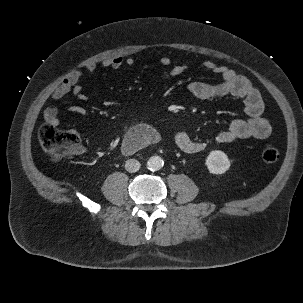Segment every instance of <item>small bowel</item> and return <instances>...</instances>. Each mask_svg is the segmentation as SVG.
Segmentation results:
<instances>
[{
    "instance_id": "1",
    "label": "small bowel",
    "mask_w": 303,
    "mask_h": 303,
    "mask_svg": "<svg viewBox=\"0 0 303 303\" xmlns=\"http://www.w3.org/2000/svg\"><path fill=\"white\" fill-rule=\"evenodd\" d=\"M160 64L167 70L157 79L159 83L172 78L181 76L189 69V64L180 62L173 64L168 56H162ZM135 63L131 57L116 56L103 60L102 66L111 69H120L122 67H131ZM205 70L217 73L221 76L218 83H207L194 81L188 84V92L199 100H215L224 97L241 98L244 103L246 119H234L227 129L219 132L215 140L217 143H231L238 140L256 138L265 139L271 133V124L263 116L264 104L259 91L252 82L245 76L237 74L227 66L219 65L214 61H205L202 64ZM96 70V64H88L84 70H75L70 72L60 84L52 91L51 98L60 100L68 93L72 92L74 96L85 101L87 94L83 91L80 80L86 73H93ZM68 111L80 116H86L87 110L80 105H72ZM44 119L47 123L58 126L60 124L59 109L57 106H49L44 111ZM176 146L186 153H197L205 148V143L195 139L185 131H179L174 136Z\"/></svg>"
}]
</instances>
